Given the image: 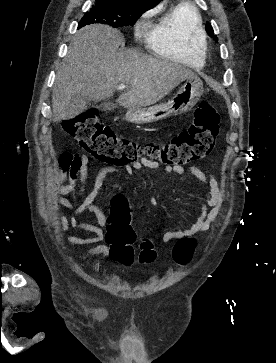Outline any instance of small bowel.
Instances as JSON below:
<instances>
[{"label": "small bowel", "instance_id": "obj_1", "mask_svg": "<svg viewBox=\"0 0 276 363\" xmlns=\"http://www.w3.org/2000/svg\"><path fill=\"white\" fill-rule=\"evenodd\" d=\"M89 158L85 154L64 152L59 159L60 174L59 179L63 184L58 187V193L61 197L57 203L65 208H74L76 205V197L85 194V182L88 177ZM159 168V163L143 158L139 162L125 164L123 169L126 174L132 175L134 170L147 169L154 171ZM165 172L175 173L184 176L185 170L182 166H165ZM192 174L207 188V194L201 199V211L197 220L188 227L175 228L164 232L162 242L169 243L173 240L191 236L200 232L207 231L212 222L217 218L222 206L224 195L218 185L217 180L211 175L209 178L197 167H191ZM119 172L118 168L106 167L101 169L95 179L93 189L85 196L83 202L75 208L74 214L70 219L61 215L62 230L66 231L68 226L82 229L90 232V237L69 236L67 242L73 245H94L92 248L83 253L76 254V258L80 261L93 259L95 264L101 263L107 256L108 249L101 245L104 233L102 227L107 224L108 215L94 201L97 198L103 182L108 175ZM113 210H125L129 216L130 212L128 204L122 194H116L111 199ZM90 212L98 221V225L84 222L80 220V215Z\"/></svg>", "mask_w": 276, "mask_h": 363}]
</instances>
